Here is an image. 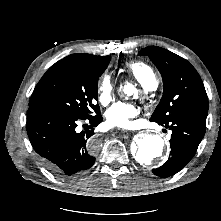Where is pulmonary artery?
Listing matches in <instances>:
<instances>
[{
	"label": "pulmonary artery",
	"instance_id": "obj_1",
	"mask_svg": "<svg viewBox=\"0 0 221 221\" xmlns=\"http://www.w3.org/2000/svg\"><path fill=\"white\" fill-rule=\"evenodd\" d=\"M157 87V81H153L152 84L150 85L149 89L154 90Z\"/></svg>",
	"mask_w": 221,
	"mask_h": 221
}]
</instances>
